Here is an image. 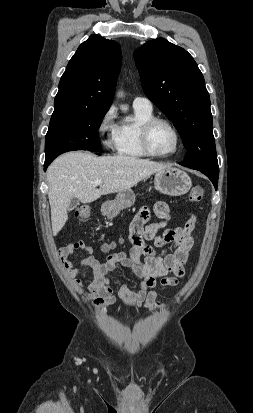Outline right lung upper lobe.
I'll use <instances>...</instances> for the list:
<instances>
[{
    "instance_id": "cb5924a9",
    "label": "right lung upper lobe",
    "mask_w": 253,
    "mask_h": 413,
    "mask_svg": "<svg viewBox=\"0 0 253 413\" xmlns=\"http://www.w3.org/2000/svg\"><path fill=\"white\" fill-rule=\"evenodd\" d=\"M121 60L117 42L91 35L79 46L60 79L52 116L108 110Z\"/></svg>"
}]
</instances>
